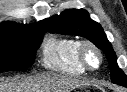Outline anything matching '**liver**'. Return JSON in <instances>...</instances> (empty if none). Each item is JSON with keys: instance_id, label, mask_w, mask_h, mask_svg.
<instances>
[{"instance_id": "liver-1", "label": "liver", "mask_w": 127, "mask_h": 92, "mask_svg": "<svg viewBox=\"0 0 127 92\" xmlns=\"http://www.w3.org/2000/svg\"><path fill=\"white\" fill-rule=\"evenodd\" d=\"M87 81L62 75H38L12 82L0 81V92H70Z\"/></svg>"}]
</instances>
